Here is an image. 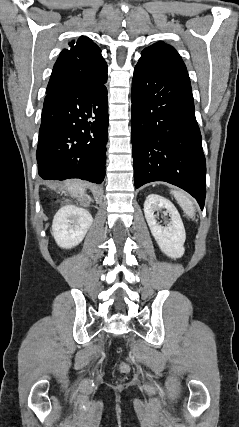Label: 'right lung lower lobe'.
Listing matches in <instances>:
<instances>
[{"mask_svg":"<svg viewBox=\"0 0 239 427\" xmlns=\"http://www.w3.org/2000/svg\"><path fill=\"white\" fill-rule=\"evenodd\" d=\"M107 71L66 82L50 91L42 110L36 152L45 180L80 178L100 184L108 141Z\"/></svg>","mask_w":239,"mask_h":427,"instance_id":"obj_1","label":"right lung lower lobe"}]
</instances>
